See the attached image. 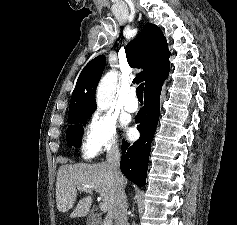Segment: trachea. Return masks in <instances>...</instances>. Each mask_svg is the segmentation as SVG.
<instances>
[{
	"label": "trachea",
	"mask_w": 237,
	"mask_h": 225,
	"mask_svg": "<svg viewBox=\"0 0 237 225\" xmlns=\"http://www.w3.org/2000/svg\"><path fill=\"white\" fill-rule=\"evenodd\" d=\"M143 90H144V84H140V85L136 88L137 98H138L139 100H143Z\"/></svg>",
	"instance_id": "trachea-1"
}]
</instances>
